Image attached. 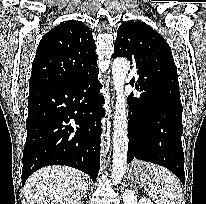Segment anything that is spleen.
I'll list each match as a JSON object with an SVG mask.
<instances>
[{"label": "spleen", "mask_w": 206, "mask_h": 204, "mask_svg": "<svg viewBox=\"0 0 206 204\" xmlns=\"http://www.w3.org/2000/svg\"><path fill=\"white\" fill-rule=\"evenodd\" d=\"M152 182L148 194L156 204H181L182 189L179 180L168 169L152 164Z\"/></svg>", "instance_id": "3e777b00"}]
</instances>
